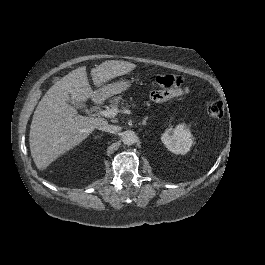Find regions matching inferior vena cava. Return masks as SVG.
<instances>
[{
	"label": "inferior vena cava",
	"mask_w": 265,
	"mask_h": 265,
	"mask_svg": "<svg viewBox=\"0 0 265 265\" xmlns=\"http://www.w3.org/2000/svg\"><path fill=\"white\" fill-rule=\"evenodd\" d=\"M99 129L108 133H116L119 131V127L116 125H110V124H101L99 126Z\"/></svg>",
	"instance_id": "obj_1"
}]
</instances>
